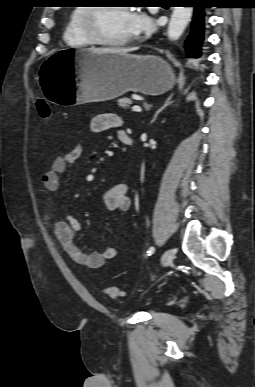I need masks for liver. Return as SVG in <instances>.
I'll list each match as a JSON object with an SVG mask.
<instances>
[{
	"label": "liver",
	"instance_id": "1",
	"mask_svg": "<svg viewBox=\"0 0 255 387\" xmlns=\"http://www.w3.org/2000/svg\"><path fill=\"white\" fill-rule=\"evenodd\" d=\"M89 50L96 53L127 54L131 51H134L135 48H91Z\"/></svg>",
	"mask_w": 255,
	"mask_h": 387
}]
</instances>
